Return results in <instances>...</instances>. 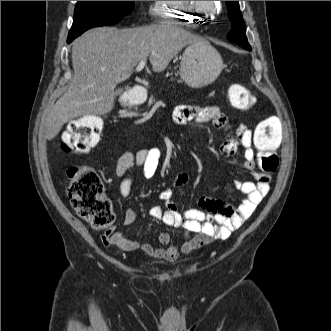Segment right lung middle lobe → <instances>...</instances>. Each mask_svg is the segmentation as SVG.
<instances>
[{"label": "right lung middle lobe", "mask_w": 331, "mask_h": 331, "mask_svg": "<svg viewBox=\"0 0 331 331\" xmlns=\"http://www.w3.org/2000/svg\"><path fill=\"white\" fill-rule=\"evenodd\" d=\"M133 8L134 1H77L68 39L72 41L92 27L116 24Z\"/></svg>", "instance_id": "right-lung-middle-lobe-1"}]
</instances>
